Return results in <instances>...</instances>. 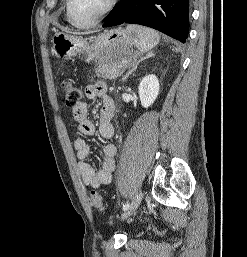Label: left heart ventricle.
I'll use <instances>...</instances> for the list:
<instances>
[{
  "instance_id": "left-heart-ventricle-1",
  "label": "left heart ventricle",
  "mask_w": 247,
  "mask_h": 257,
  "mask_svg": "<svg viewBox=\"0 0 247 257\" xmlns=\"http://www.w3.org/2000/svg\"><path fill=\"white\" fill-rule=\"evenodd\" d=\"M110 0H71L73 17L80 23L94 20L108 5Z\"/></svg>"
}]
</instances>
